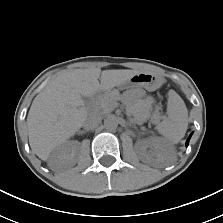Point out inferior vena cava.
Returning a JSON list of instances; mask_svg holds the SVG:
<instances>
[{
    "mask_svg": "<svg viewBox=\"0 0 223 223\" xmlns=\"http://www.w3.org/2000/svg\"><path fill=\"white\" fill-rule=\"evenodd\" d=\"M101 123V118L97 116H89L85 120L83 126L86 130L94 129Z\"/></svg>",
    "mask_w": 223,
    "mask_h": 223,
    "instance_id": "1",
    "label": "inferior vena cava"
}]
</instances>
